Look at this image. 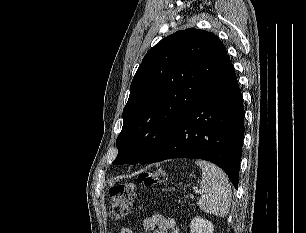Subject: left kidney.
<instances>
[{"mask_svg":"<svg viewBox=\"0 0 306 233\" xmlns=\"http://www.w3.org/2000/svg\"><path fill=\"white\" fill-rule=\"evenodd\" d=\"M190 231L191 233H213L214 226L210 221L196 216L191 221Z\"/></svg>","mask_w":306,"mask_h":233,"instance_id":"left-kidney-1","label":"left kidney"}]
</instances>
